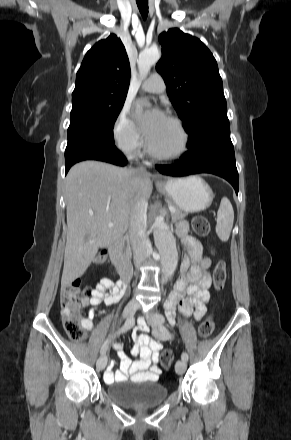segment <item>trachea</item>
<instances>
[{"label": "trachea", "mask_w": 291, "mask_h": 440, "mask_svg": "<svg viewBox=\"0 0 291 440\" xmlns=\"http://www.w3.org/2000/svg\"><path fill=\"white\" fill-rule=\"evenodd\" d=\"M140 13L144 19L148 15V0H136Z\"/></svg>", "instance_id": "obj_1"}]
</instances>
